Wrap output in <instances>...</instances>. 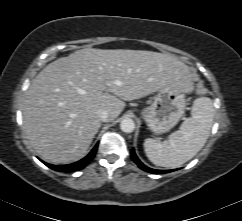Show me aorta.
<instances>
[{
    "label": "aorta",
    "instance_id": "762f6f07",
    "mask_svg": "<svg viewBox=\"0 0 242 221\" xmlns=\"http://www.w3.org/2000/svg\"><path fill=\"white\" fill-rule=\"evenodd\" d=\"M120 129L124 133H131L135 129V122L130 118H125L120 123Z\"/></svg>",
    "mask_w": 242,
    "mask_h": 221
}]
</instances>
